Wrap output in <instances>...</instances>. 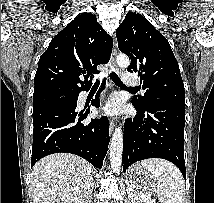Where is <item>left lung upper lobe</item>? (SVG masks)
Listing matches in <instances>:
<instances>
[{"label": "left lung upper lobe", "instance_id": "5c2ea615", "mask_svg": "<svg viewBox=\"0 0 214 203\" xmlns=\"http://www.w3.org/2000/svg\"><path fill=\"white\" fill-rule=\"evenodd\" d=\"M116 37L119 50L131 59L127 71L138 73L146 91L132 99L133 106L140 111L154 104L185 106L183 80L168 40L145 17L134 12L126 15Z\"/></svg>", "mask_w": 214, "mask_h": 203}]
</instances>
